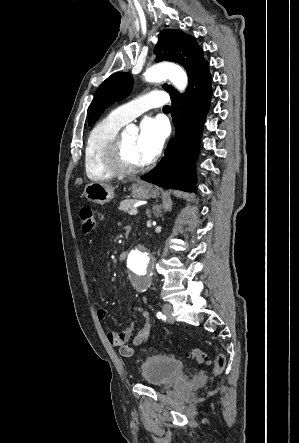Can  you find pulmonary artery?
I'll use <instances>...</instances> for the list:
<instances>
[{
  "label": "pulmonary artery",
  "mask_w": 299,
  "mask_h": 443,
  "mask_svg": "<svg viewBox=\"0 0 299 443\" xmlns=\"http://www.w3.org/2000/svg\"><path fill=\"white\" fill-rule=\"evenodd\" d=\"M168 101L169 96L167 93L161 91H150L124 105L115 108L111 111L110 116L123 123H128L151 108L165 106Z\"/></svg>",
  "instance_id": "1"
}]
</instances>
